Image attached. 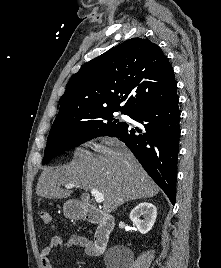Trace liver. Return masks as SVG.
<instances>
[{"instance_id": "6515ba94", "label": "liver", "mask_w": 221, "mask_h": 268, "mask_svg": "<svg viewBox=\"0 0 221 268\" xmlns=\"http://www.w3.org/2000/svg\"><path fill=\"white\" fill-rule=\"evenodd\" d=\"M105 142L107 146L94 144L97 155L76 149L68 166L45 168L36 194L48 199L68 198L73 191L62 189L66 184H75L84 190L97 189L104 194L105 213L115 211L127 201L157 195L159 187L127 147L114 138H106Z\"/></svg>"}]
</instances>
